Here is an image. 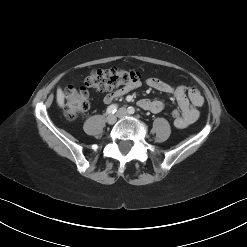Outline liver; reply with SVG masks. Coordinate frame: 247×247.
<instances>
[{
    "mask_svg": "<svg viewBox=\"0 0 247 247\" xmlns=\"http://www.w3.org/2000/svg\"><path fill=\"white\" fill-rule=\"evenodd\" d=\"M57 103L60 107H63L64 105V93L61 88L57 89Z\"/></svg>",
    "mask_w": 247,
    "mask_h": 247,
    "instance_id": "1",
    "label": "liver"
}]
</instances>
